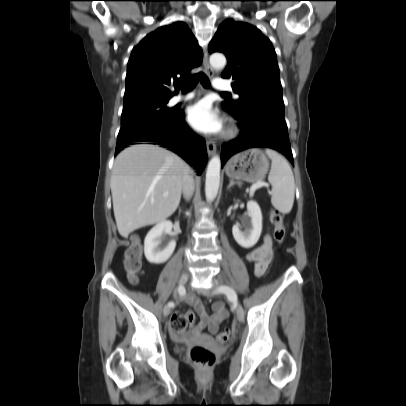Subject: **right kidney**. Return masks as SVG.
<instances>
[{"label":"right kidney","instance_id":"obj_1","mask_svg":"<svg viewBox=\"0 0 406 406\" xmlns=\"http://www.w3.org/2000/svg\"><path fill=\"white\" fill-rule=\"evenodd\" d=\"M172 223L162 221L155 225L147 234L144 241V253L146 259L153 264L166 262L174 252L176 242L171 241L165 248H161L160 237L164 232H171Z\"/></svg>","mask_w":406,"mask_h":406}]
</instances>
